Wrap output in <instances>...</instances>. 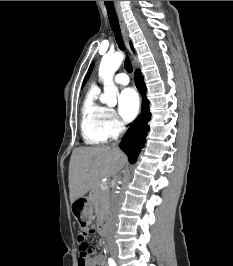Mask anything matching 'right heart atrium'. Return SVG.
<instances>
[{
	"label": "right heart atrium",
	"mask_w": 233,
	"mask_h": 266,
	"mask_svg": "<svg viewBox=\"0 0 233 266\" xmlns=\"http://www.w3.org/2000/svg\"><path fill=\"white\" fill-rule=\"evenodd\" d=\"M102 128L107 138H116L124 131L125 126L113 109L106 108Z\"/></svg>",
	"instance_id": "right-heart-atrium-1"
}]
</instances>
